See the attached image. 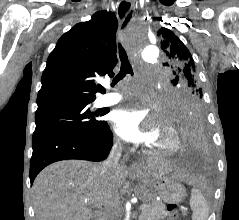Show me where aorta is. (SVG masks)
I'll use <instances>...</instances> for the list:
<instances>
[{
    "mask_svg": "<svg viewBox=\"0 0 239 220\" xmlns=\"http://www.w3.org/2000/svg\"><path fill=\"white\" fill-rule=\"evenodd\" d=\"M142 33H129L128 40H139ZM131 48H143L141 57L145 62L154 61L159 55V49L156 45H129Z\"/></svg>",
    "mask_w": 239,
    "mask_h": 220,
    "instance_id": "1",
    "label": "aorta"
}]
</instances>
